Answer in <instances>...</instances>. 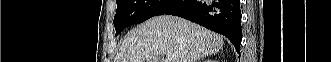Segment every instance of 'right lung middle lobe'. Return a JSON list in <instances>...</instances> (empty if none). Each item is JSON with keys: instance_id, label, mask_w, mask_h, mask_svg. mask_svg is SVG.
Segmentation results:
<instances>
[{"instance_id": "dd1d6c3e", "label": "right lung middle lobe", "mask_w": 331, "mask_h": 62, "mask_svg": "<svg viewBox=\"0 0 331 62\" xmlns=\"http://www.w3.org/2000/svg\"><path fill=\"white\" fill-rule=\"evenodd\" d=\"M180 0H117V10L114 17L116 35L124 28L144 22L145 20L162 15L168 8Z\"/></svg>"}]
</instances>
